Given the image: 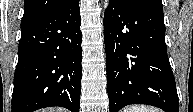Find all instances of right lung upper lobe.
Masks as SVG:
<instances>
[{"label":"right lung upper lobe","instance_id":"right-lung-upper-lobe-1","mask_svg":"<svg viewBox=\"0 0 193 112\" xmlns=\"http://www.w3.org/2000/svg\"><path fill=\"white\" fill-rule=\"evenodd\" d=\"M69 1L70 0H25L21 26L47 16Z\"/></svg>","mask_w":193,"mask_h":112}]
</instances>
